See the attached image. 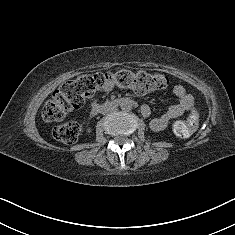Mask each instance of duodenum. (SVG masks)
<instances>
[{
  "mask_svg": "<svg viewBox=\"0 0 235 235\" xmlns=\"http://www.w3.org/2000/svg\"><path fill=\"white\" fill-rule=\"evenodd\" d=\"M123 102H128L132 105H135V102L132 100L117 99V100L111 101L110 103H107L105 105L94 104L91 108V114L96 115V114L100 113L104 107H107L110 105H119Z\"/></svg>",
  "mask_w": 235,
  "mask_h": 235,
  "instance_id": "duodenum-1",
  "label": "duodenum"
}]
</instances>
